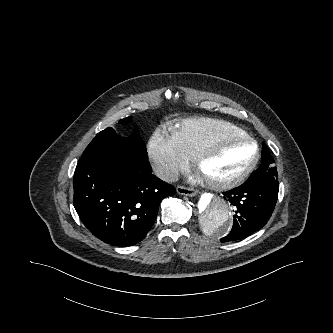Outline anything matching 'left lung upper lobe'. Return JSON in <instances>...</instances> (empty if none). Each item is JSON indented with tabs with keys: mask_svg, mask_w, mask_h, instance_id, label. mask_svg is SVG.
Returning a JSON list of instances; mask_svg holds the SVG:
<instances>
[{
	"mask_svg": "<svg viewBox=\"0 0 333 333\" xmlns=\"http://www.w3.org/2000/svg\"><path fill=\"white\" fill-rule=\"evenodd\" d=\"M246 182H278L277 169L274 167L271 154H262L261 165L250 175Z\"/></svg>",
	"mask_w": 333,
	"mask_h": 333,
	"instance_id": "left-lung-upper-lobe-1",
	"label": "left lung upper lobe"
}]
</instances>
